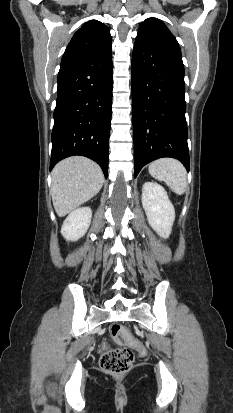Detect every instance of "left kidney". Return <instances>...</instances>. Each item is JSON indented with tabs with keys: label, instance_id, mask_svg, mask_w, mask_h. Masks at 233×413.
<instances>
[{
	"label": "left kidney",
	"instance_id": "1",
	"mask_svg": "<svg viewBox=\"0 0 233 413\" xmlns=\"http://www.w3.org/2000/svg\"><path fill=\"white\" fill-rule=\"evenodd\" d=\"M142 205L150 226L160 237L168 238L175 220V210L165 189L154 182H145Z\"/></svg>",
	"mask_w": 233,
	"mask_h": 413
}]
</instances>
